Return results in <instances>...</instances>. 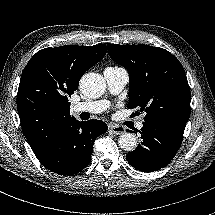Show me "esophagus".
I'll return each instance as SVG.
<instances>
[{
    "label": "esophagus",
    "instance_id": "1",
    "mask_svg": "<svg viewBox=\"0 0 215 215\" xmlns=\"http://www.w3.org/2000/svg\"><path fill=\"white\" fill-rule=\"evenodd\" d=\"M109 129L116 135H122L126 132L125 127L114 124H110Z\"/></svg>",
    "mask_w": 215,
    "mask_h": 215
}]
</instances>
